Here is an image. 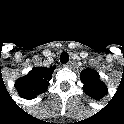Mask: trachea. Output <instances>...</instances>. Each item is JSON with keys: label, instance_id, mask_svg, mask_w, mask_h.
Returning a JSON list of instances; mask_svg holds the SVG:
<instances>
[{"label": "trachea", "instance_id": "trachea-1", "mask_svg": "<svg viewBox=\"0 0 124 124\" xmlns=\"http://www.w3.org/2000/svg\"><path fill=\"white\" fill-rule=\"evenodd\" d=\"M69 61V55L67 52H62L60 55V62L66 64Z\"/></svg>", "mask_w": 124, "mask_h": 124}]
</instances>
